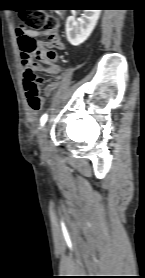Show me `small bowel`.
Wrapping results in <instances>:
<instances>
[{"instance_id": "small-bowel-1", "label": "small bowel", "mask_w": 145, "mask_h": 278, "mask_svg": "<svg viewBox=\"0 0 145 278\" xmlns=\"http://www.w3.org/2000/svg\"><path fill=\"white\" fill-rule=\"evenodd\" d=\"M25 35L33 37L35 39L39 36L48 37L49 41H41L39 43L40 46L45 48H53L55 50H63L65 48V43L57 31L34 32L31 30H26ZM22 58L24 69H26L30 65L34 72H44L54 77V80L45 86L44 92L48 90H55L57 88L61 80V73L63 71L62 67L59 64H57L55 61L50 62L45 57H41L40 61L34 63L23 56Z\"/></svg>"}]
</instances>
